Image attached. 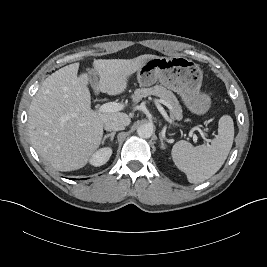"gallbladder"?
I'll use <instances>...</instances> for the list:
<instances>
[{"label": "gallbladder", "instance_id": "obj_1", "mask_svg": "<svg viewBox=\"0 0 267 267\" xmlns=\"http://www.w3.org/2000/svg\"><path fill=\"white\" fill-rule=\"evenodd\" d=\"M86 80L92 84L95 90H98L99 82H98L95 70H91L89 72V75H87Z\"/></svg>", "mask_w": 267, "mask_h": 267}]
</instances>
